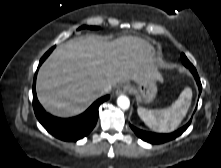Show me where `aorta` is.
<instances>
[{"instance_id":"aorta-1","label":"aorta","mask_w":221,"mask_h":168,"mask_svg":"<svg viewBox=\"0 0 221 168\" xmlns=\"http://www.w3.org/2000/svg\"><path fill=\"white\" fill-rule=\"evenodd\" d=\"M117 105L121 109L127 110L130 106L129 98L127 96H124V95L119 96L118 99H117Z\"/></svg>"}]
</instances>
